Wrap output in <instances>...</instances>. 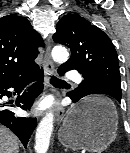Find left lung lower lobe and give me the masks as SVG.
Wrapping results in <instances>:
<instances>
[{
    "mask_svg": "<svg viewBox=\"0 0 130 153\" xmlns=\"http://www.w3.org/2000/svg\"><path fill=\"white\" fill-rule=\"evenodd\" d=\"M68 70H72V69H64V68H59L58 69V73L60 74V75H63L66 71H68ZM83 78H84V80L82 81V83H81V85L82 86H84V87H86V83H87V77H84L83 76ZM91 94H105V93H103L101 90H99V89H91V88H86L85 90H84V93H83V95L82 96H80V97H75V96H73V95H71V94H68V96H70V98L72 99V101L75 103V102H77L78 100H80L82 97H84V96H87V95H91Z\"/></svg>",
    "mask_w": 130,
    "mask_h": 153,
    "instance_id": "1",
    "label": "left lung lower lobe"
}]
</instances>
